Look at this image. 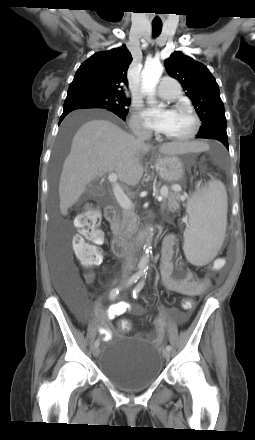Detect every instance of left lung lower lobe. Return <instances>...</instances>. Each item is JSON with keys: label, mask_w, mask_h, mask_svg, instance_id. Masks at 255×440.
<instances>
[{"label": "left lung lower lobe", "mask_w": 255, "mask_h": 440, "mask_svg": "<svg viewBox=\"0 0 255 440\" xmlns=\"http://www.w3.org/2000/svg\"><path fill=\"white\" fill-rule=\"evenodd\" d=\"M197 138H201V137H197ZM206 138L216 139V140L220 141L221 143H223L226 146L227 149H229L228 138H219V137H206Z\"/></svg>", "instance_id": "0a47b994"}]
</instances>
